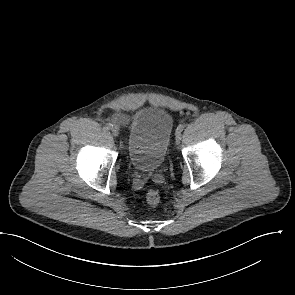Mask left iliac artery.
Here are the masks:
<instances>
[{"mask_svg":"<svg viewBox=\"0 0 295 295\" xmlns=\"http://www.w3.org/2000/svg\"><path fill=\"white\" fill-rule=\"evenodd\" d=\"M185 128V125L184 124H180L178 127H177V131L179 132H182Z\"/></svg>","mask_w":295,"mask_h":295,"instance_id":"left-iliac-artery-1","label":"left iliac artery"}]
</instances>
